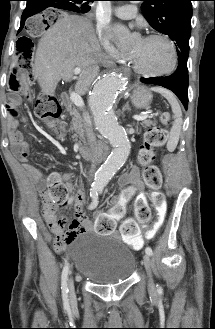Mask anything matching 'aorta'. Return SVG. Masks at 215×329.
Instances as JSON below:
<instances>
[{"label":"aorta","instance_id":"762f6f07","mask_svg":"<svg viewBox=\"0 0 215 329\" xmlns=\"http://www.w3.org/2000/svg\"><path fill=\"white\" fill-rule=\"evenodd\" d=\"M114 32L120 45L130 43L129 31L121 24L114 25ZM125 86V79L111 72L101 76L92 86L89 94V106L97 131L106 138L113 149L107 160L95 174L94 187H104L116 171L126 162L131 143L125 129L118 123L113 106L118 94Z\"/></svg>","mask_w":215,"mask_h":329}]
</instances>
